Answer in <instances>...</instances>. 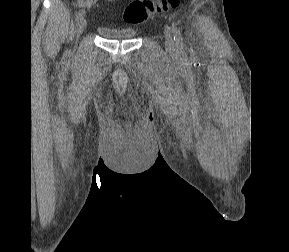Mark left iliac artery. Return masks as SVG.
<instances>
[{"instance_id":"left-iliac-artery-1","label":"left iliac artery","mask_w":289,"mask_h":252,"mask_svg":"<svg viewBox=\"0 0 289 252\" xmlns=\"http://www.w3.org/2000/svg\"><path fill=\"white\" fill-rule=\"evenodd\" d=\"M172 33L174 36V40L176 42L177 47H182L183 46V38L180 33V30L176 27L174 23H172Z\"/></svg>"}]
</instances>
